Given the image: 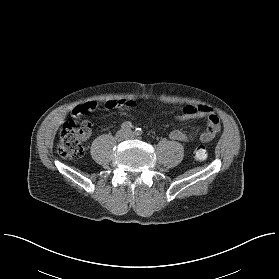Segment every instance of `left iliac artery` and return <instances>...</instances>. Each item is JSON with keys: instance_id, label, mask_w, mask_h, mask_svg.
<instances>
[{"instance_id": "44dca946", "label": "left iliac artery", "mask_w": 279, "mask_h": 279, "mask_svg": "<svg viewBox=\"0 0 279 279\" xmlns=\"http://www.w3.org/2000/svg\"><path fill=\"white\" fill-rule=\"evenodd\" d=\"M134 133H135L136 136H140V135H142L143 131H142L141 128H136Z\"/></svg>"}]
</instances>
